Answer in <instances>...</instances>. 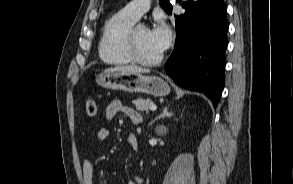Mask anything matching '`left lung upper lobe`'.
Returning <instances> with one entry per match:
<instances>
[{
	"mask_svg": "<svg viewBox=\"0 0 293 184\" xmlns=\"http://www.w3.org/2000/svg\"><path fill=\"white\" fill-rule=\"evenodd\" d=\"M160 4L167 13L170 11V5L168 4L167 0H160Z\"/></svg>",
	"mask_w": 293,
	"mask_h": 184,
	"instance_id": "5c2ea615",
	"label": "left lung upper lobe"
}]
</instances>
